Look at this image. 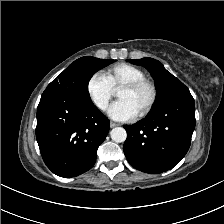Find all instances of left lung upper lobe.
<instances>
[{"label": "left lung upper lobe", "instance_id": "left-lung-upper-lobe-1", "mask_svg": "<svg viewBox=\"0 0 224 224\" xmlns=\"http://www.w3.org/2000/svg\"><path fill=\"white\" fill-rule=\"evenodd\" d=\"M128 61L147 68L155 80L157 98L151 111L157 110L181 96L191 95L189 89L168 72L159 61L147 57L143 59H129Z\"/></svg>", "mask_w": 224, "mask_h": 224}]
</instances>
